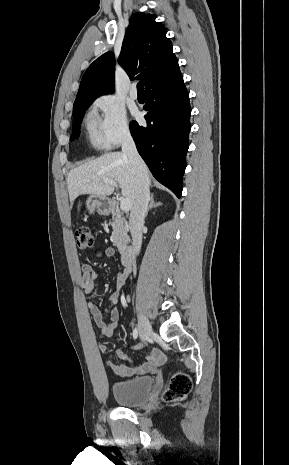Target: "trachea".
I'll return each instance as SVG.
<instances>
[{
    "instance_id": "3493384b",
    "label": "trachea",
    "mask_w": 289,
    "mask_h": 465,
    "mask_svg": "<svg viewBox=\"0 0 289 465\" xmlns=\"http://www.w3.org/2000/svg\"><path fill=\"white\" fill-rule=\"evenodd\" d=\"M137 90H138V92H144V85H143L142 81L138 82Z\"/></svg>"
}]
</instances>
